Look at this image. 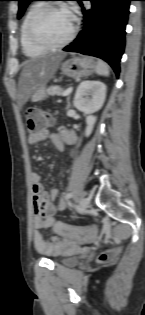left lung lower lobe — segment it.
<instances>
[{"mask_svg": "<svg viewBox=\"0 0 145 315\" xmlns=\"http://www.w3.org/2000/svg\"><path fill=\"white\" fill-rule=\"evenodd\" d=\"M81 1L78 2L81 4ZM92 8L83 10L81 32L63 50L79 52L105 60L116 75L120 73V60L125 47V27L132 0H88Z\"/></svg>", "mask_w": 145, "mask_h": 315, "instance_id": "1", "label": "left lung lower lobe"}]
</instances>
